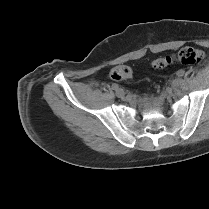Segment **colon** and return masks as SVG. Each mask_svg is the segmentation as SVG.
I'll return each instance as SVG.
<instances>
[{
    "label": "colon",
    "mask_w": 209,
    "mask_h": 209,
    "mask_svg": "<svg viewBox=\"0 0 209 209\" xmlns=\"http://www.w3.org/2000/svg\"><path fill=\"white\" fill-rule=\"evenodd\" d=\"M205 54L202 50L192 47H185L177 53L165 57H160L152 61V67L155 69H164L174 62L184 65H197L203 62ZM110 76L115 81H125L132 78L130 67L121 65L115 67Z\"/></svg>",
    "instance_id": "colon-1"
}]
</instances>
